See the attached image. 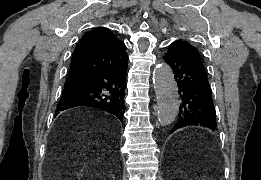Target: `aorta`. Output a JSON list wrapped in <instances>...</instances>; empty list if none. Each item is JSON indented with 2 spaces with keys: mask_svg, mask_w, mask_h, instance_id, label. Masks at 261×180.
I'll return each mask as SVG.
<instances>
[{
  "mask_svg": "<svg viewBox=\"0 0 261 180\" xmlns=\"http://www.w3.org/2000/svg\"><path fill=\"white\" fill-rule=\"evenodd\" d=\"M153 85L158 103V121L163 126L169 125L176 119L180 101L174 74L168 64L163 62L155 67Z\"/></svg>",
  "mask_w": 261,
  "mask_h": 180,
  "instance_id": "1",
  "label": "aorta"
}]
</instances>
